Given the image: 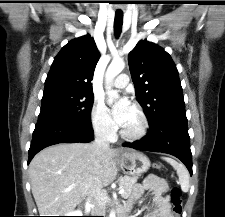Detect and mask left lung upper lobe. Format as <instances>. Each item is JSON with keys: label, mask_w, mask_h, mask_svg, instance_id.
<instances>
[{"label": "left lung upper lobe", "mask_w": 225, "mask_h": 217, "mask_svg": "<svg viewBox=\"0 0 225 217\" xmlns=\"http://www.w3.org/2000/svg\"><path fill=\"white\" fill-rule=\"evenodd\" d=\"M128 63L138 102L149 125L186 116L178 70L170 55L146 40L129 53Z\"/></svg>", "instance_id": "obj_1"}]
</instances>
